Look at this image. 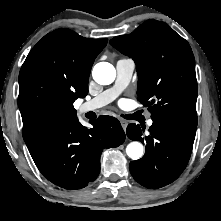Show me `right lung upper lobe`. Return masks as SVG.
Returning <instances> with one entry per match:
<instances>
[{
	"label": "right lung upper lobe",
	"mask_w": 221,
	"mask_h": 221,
	"mask_svg": "<svg viewBox=\"0 0 221 221\" xmlns=\"http://www.w3.org/2000/svg\"><path fill=\"white\" fill-rule=\"evenodd\" d=\"M107 41L60 28L33 47L19 74L18 106L24 139L54 119L58 111L75 110L73 103L87 95L92 65Z\"/></svg>",
	"instance_id": "obj_1"
}]
</instances>
